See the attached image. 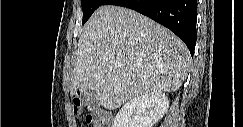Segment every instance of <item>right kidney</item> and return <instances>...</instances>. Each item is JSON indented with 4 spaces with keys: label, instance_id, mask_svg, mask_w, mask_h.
<instances>
[{
    "label": "right kidney",
    "instance_id": "1",
    "mask_svg": "<svg viewBox=\"0 0 243 127\" xmlns=\"http://www.w3.org/2000/svg\"><path fill=\"white\" fill-rule=\"evenodd\" d=\"M168 108L169 100L163 92L134 97L121 107L113 127H153Z\"/></svg>",
    "mask_w": 243,
    "mask_h": 127
}]
</instances>
